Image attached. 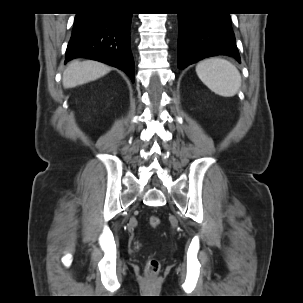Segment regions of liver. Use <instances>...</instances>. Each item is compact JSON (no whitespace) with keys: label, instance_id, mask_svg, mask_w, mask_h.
Here are the masks:
<instances>
[{"label":"liver","instance_id":"liver-1","mask_svg":"<svg viewBox=\"0 0 303 303\" xmlns=\"http://www.w3.org/2000/svg\"><path fill=\"white\" fill-rule=\"evenodd\" d=\"M111 68L97 61H72L63 73L64 88H74L78 85L94 81L107 73Z\"/></svg>","mask_w":303,"mask_h":303}]
</instances>
